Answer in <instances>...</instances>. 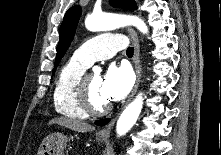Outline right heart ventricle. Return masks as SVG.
Returning a JSON list of instances; mask_svg holds the SVG:
<instances>
[{
	"instance_id": "right-heart-ventricle-1",
	"label": "right heart ventricle",
	"mask_w": 221,
	"mask_h": 155,
	"mask_svg": "<svg viewBox=\"0 0 221 155\" xmlns=\"http://www.w3.org/2000/svg\"><path fill=\"white\" fill-rule=\"evenodd\" d=\"M88 67L72 57L59 71L53 92L54 107L58 113L74 119L88 116L76 97V86Z\"/></svg>"
}]
</instances>
